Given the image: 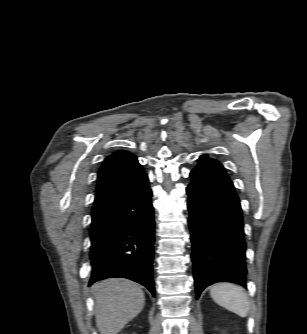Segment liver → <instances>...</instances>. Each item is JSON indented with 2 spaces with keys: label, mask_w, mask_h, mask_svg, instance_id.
<instances>
[{
  "label": "liver",
  "mask_w": 307,
  "mask_h": 334,
  "mask_svg": "<svg viewBox=\"0 0 307 334\" xmlns=\"http://www.w3.org/2000/svg\"><path fill=\"white\" fill-rule=\"evenodd\" d=\"M100 334H117L143 309L141 286L127 279H107L92 286Z\"/></svg>",
  "instance_id": "obj_1"
}]
</instances>
